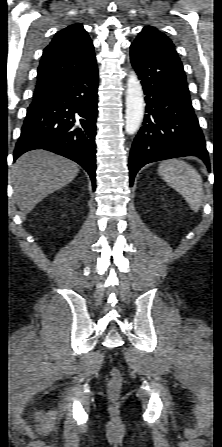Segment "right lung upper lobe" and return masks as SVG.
I'll return each instance as SVG.
<instances>
[{
    "label": "right lung upper lobe",
    "mask_w": 222,
    "mask_h": 447,
    "mask_svg": "<svg viewBox=\"0 0 222 447\" xmlns=\"http://www.w3.org/2000/svg\"><path fill=\"white\" fill-rule=\"evenodd\" d=\"M95 60L94 47L81 24L57 32L44 49L38 67L34 99L60 87Z\"/></svg>",
    "instance_id": "cb5924a9"
}]
</instances>
